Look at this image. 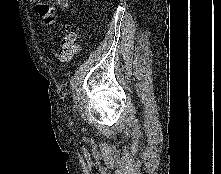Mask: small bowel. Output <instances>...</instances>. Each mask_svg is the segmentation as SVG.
<instances>
[{"instance_id":"obj_1","label":"small bowel","mask_w":221,"mask_h":174,"mask_svg":"<svg viewBox=\"0 0 221 174\" xmlns=\"http://www.w3.org/2000/svg\"><path fill=\"white\" fill-rule=\"evenodd\" d=\"M36 3L35 11L41 18V23L44 26H49L55 21V9L53 6L40 2L39 0H32ZM53 4L58 8L65 10L69 7V0H52Z\"/></svg>"}]
</instances>
